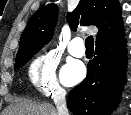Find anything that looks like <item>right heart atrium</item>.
Here are the masks:
<instances>
[{
  "mask_svg": "<svg viewBox=\"0 0 131 115\" xmlns=\"http://www.w3.org/2000/svg\"><path fill=\"white\" fill-rule=\"evenodd\" d=\"M56 63L55 56L45 52L36 56L28 68V77L32 85L45 96L53 98L64 96L55 73Z\"/></svg>",
  "mask_w": 131,
  "mask_h": 115,
  "instance_id": "right-heart-atrium-1",
  "label": "right heart atrium"
}]
</instances>
